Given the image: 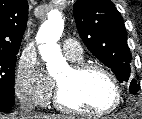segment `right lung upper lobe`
I'll list each match as a JSON object with an SVG mask.
<instances>
[{
	"label": "right lung upper lobe",
	"instance_id": "right-lung-upper-lobe-1",
	"mask_svg": "<svg viewBox=\"0 0 142 119\" xmlns=\"http://www.w3.org/2000/svg\"><path fill=\"white\" fill-rule=\"evenodd\" d=\"M27 18V0H0V52H18Z\"/></svg>",
	"mask_w": 142,
	"mask_h": 119
}]
</instances>
